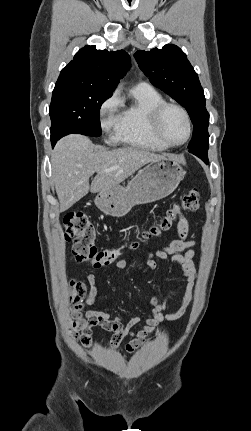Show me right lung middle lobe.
Listing matches in <instances>:
<instances>
[{
	"instance_id": "obj_1",
	"label": "right lung middle lobe",
	"mask_w": 251,
	"mask_h": 431,
	"mask_svg": "<svg viewBox=\"0 0 251 431\" xmlns=\"http://www.w3.org/2000/svg\"><path fill=\"white\" fill-rule=\"evenodd\" d=\"M112 93L73 83H56L49 108L51 139L70 133L99 137L100 107Z\"/></svg>"
}]
</instances>
